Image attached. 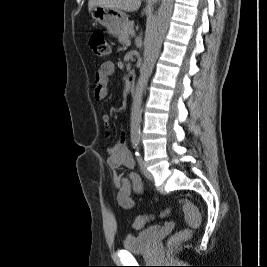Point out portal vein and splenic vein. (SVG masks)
Segmentation results:
<instances>
[{
    "label": "portal vein and splenic vein",
    "instance_id": "portal-vein-and-splenic-vein-1",
    "mask_svg": "<svg viewBox=\"0 0 267 267\" xmlns=\"http://www.w3.org/2000/svg\"><path fill=\"white\" fill-rule=\"evenodd\" d=\"M125 44H126V45H130V44H131L130 40H127V41L125 42Z\"/></svg>",
    "mask_w": 267,
    "mask_h": 267
}]
</instances>
